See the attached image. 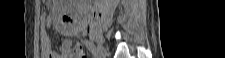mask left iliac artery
<instances>
[{"instance_id":"obj_1","label":"left iliac artery","mask_w":225,"mask_h":58,"mask_svg":"<svg viewBox=\"0 0 225 58\" xmlns=\"http://www.w3.org/2000/svg\"><path fill=\"white\" fill-rule=\"evenodd\" d=\"M85 44L89 50L94 51V45L90 41L85 40Z\"/></svg>"}]
</instances>
